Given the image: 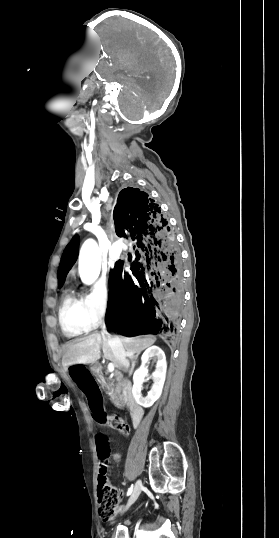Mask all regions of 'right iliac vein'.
I'll return each mask as SVG.
<instances>
[{"label": "right iliac vein", "mask_w": 279, "mask_h": 538, "mask_svg": "<svg viewBox=\"0 0 279 538\" xmlns=\"http://www.w3.org/2000/svg\"><path fill=\"white\" fill-rule=\"evenodd\" d=\"M142 490V482L141 480H138L135 484L134 490L127 502V505L123 509V513L137 500Z\"/></svg>", "instance_id": "63e3f726"}]
</instances>
